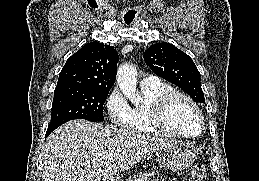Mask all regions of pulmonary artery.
<instances>
[{
	"label": "pulmonary artery",
	"instance_id": "obj_1",
	"mask_svg": "<svg viewBox=\"0 0 259 181\" xmlns=\"http://www.w3.org/2000/svg\"><path fill=\"white\" fill-rule=\"evenodd\" d=\"M159 79L155 76H146L141 80V85H150V84H154L156 82H158Z\"/></svg>",
	"mask_w": 259,
	"mask_h": 181
}]
</instances>
